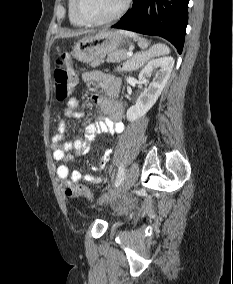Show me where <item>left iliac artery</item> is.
I'll return each instance as SVG.
<instances>
[{"instance_id":"left-iliac-artery-1","label":"left iliac artery","mask_w":233,"mask_h":284,"mask_svg":"<svg viewBox=\"0 0 233 284\" xmlns=\"http://www.w3.org/2000/svg\"><path fill=\"white\" fill-rule=\"evenodd\" d=\"M125 178V168L123 165L119 166V171L116 177V181H115V186L118 187L124 180Z\"/></svg>"}]
</instances>
